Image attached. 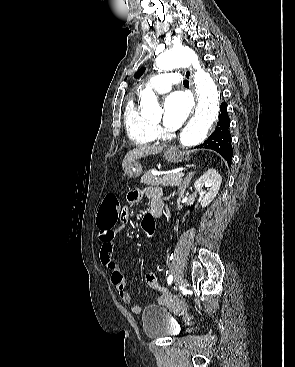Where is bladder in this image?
<instances>
[{
	"label": "bladder",
	"mask_w": 295,
	"mask_h": 367,
	"mask_svg": "<svg viewBox=\"0 0 295 367\" xmlns=\"http://www.w3.org/2000/svg\"><path fill=\"white\" fill-rule=\"evenodd\" d=\"M144 334L150 339L175 337L180 328L169 312L159 305H148L141 313Z\"/></svg>",
	"instance_id": "31cf9c89"
}]
</instances>
